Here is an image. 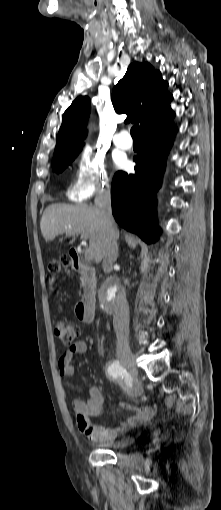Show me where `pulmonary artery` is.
<instances>
[{
  "label": "pulmonary artery",
  "mask_w": 221,
  "mask_h": 510,
  "mask_svg": "<svg viewBox=\"0 0 221 510\" xmlns=\"http://www.w3.org/2000/svg\"><path fill=\"white\" fill-rule=\"evenodd\" d=\"M114 143L122 149H130L132 147V140L127 131H118L114 135Z\"/></svg>",
  "instance_id": "pulmonary-artery-1"
}]
</instances>
